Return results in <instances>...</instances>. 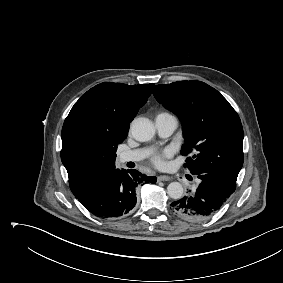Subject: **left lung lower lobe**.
Wrapping results in <instances>:
<instances>
[{"instance_id":"1","label":"left lung lower lobe","mask_w":283,"mask_h":283,"mask_svg":"<svg viewBox=\"0 0 283 283\" xmlns=\"http://www.w3.org/2000/svg\"><path fill=\"white\" fill-rule=\"evenodd\" d=\"M198 187L171 203L172 212L187 221H204L217 213L236 189V181L217 174H197Z\"/></svg>"}]
</instances>
